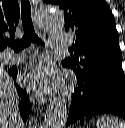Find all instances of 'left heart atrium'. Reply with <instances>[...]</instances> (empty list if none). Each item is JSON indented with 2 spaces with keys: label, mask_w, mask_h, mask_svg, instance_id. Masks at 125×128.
Instances as JSON below:
<instances>
[{
  "label": "left heart atrium",
  "mask_w": 125,
  "mask_h": 128,
  "mask_svg": "<svg viewBox=\"0 0 125 128\" xmlns=\"http://www.w3.org/2000/svg\"><path fill=\"white\" fill-rule=\"evenodd\" d=\"M25 83L36 93L46 94L58 88L61 79L52 65L43 63L26 75Z\"/></svg>",
  "instance_id": "39dd6f15"
}]
</instances>
